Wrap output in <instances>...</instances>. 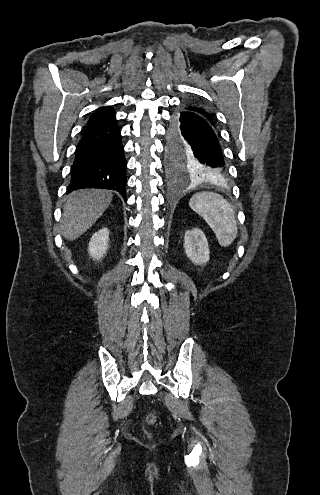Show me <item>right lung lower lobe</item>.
Wrapping results in <instances>:
<instances>
[{
  "label": "right lung lower lobe",
  "mask_w": 320,
  "mask_h": 495,
  "mask_svg": "<svg viewBox=\"0 0 320 495\" xmlns=\"http://www.w3.org/2000/svg\"><path fill=\"white\" fill-rule=\"evenodd\" d=\"M126 165L115 118L86 126L75 152L67 192L82 188L111 189L126 201Z\"/></svg>",
  "instance_id": "98d812e1"
}]
</instances>
